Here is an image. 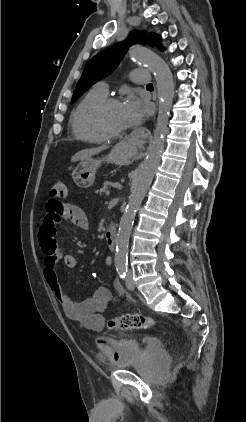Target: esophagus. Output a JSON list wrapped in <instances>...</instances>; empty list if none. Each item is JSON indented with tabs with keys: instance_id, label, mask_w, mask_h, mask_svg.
Masks as SVG:
<instances>
[{
	"instance_id": "34e87169",
	"label": "esophagus",
	"mask_w": 246,
	"mask_h": 422,
	"mask_svg": "<svg viewBox=\"0 0 246 422\" xmlns=\"http://www.w3.org/2000/svg\"><path fill=\"white\" fill-rule=\"evenodd\" d=\"M155 98H156V93H155ZM136 144L141 145V142L130 140L127 145L131 148H134Z\"/></svg>"
}]
</instances>
